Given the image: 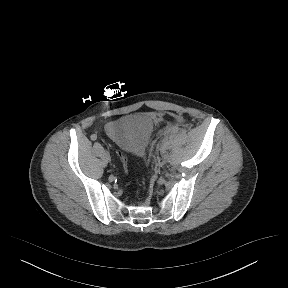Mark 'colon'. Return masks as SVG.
<instances>
[{"label":"colon","instance_id":"1","mask_svg":"<svg viewBox=\"0 0 288 288\" xmlns=\"http://www.w3.org/2000/svg\"><path fill=\"white\" fill-rule=\"evenodd\" d=\"M118 156L120 157V160L122 162L123 167L126 169L127 168V158H126L125 153L123 151H119Z\"/></svg>","mask_w":288,"mask_h":288}]
</instances>
